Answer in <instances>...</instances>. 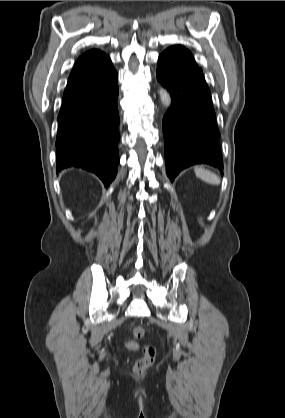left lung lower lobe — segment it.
Returning <instances> with one entry per match:
<instances>
[{"mask_svg": "<svg viewBox=\"0 0 285 418\" xmlns=\"http://www.w3.org/2000/svg\"><path fill=\"white\" fill-rule=\"evenodd\" d=\"M158 81L172 103L163 118L165 161L171 181L186 167L206 163L223 170L211 93L191 52L171 46L158 58Z\"/></svg>", "mask_w": 285, "mask_h": 418, "instance_id": "obj_1", "label": "left lung lower lobe"}]
</instances>
